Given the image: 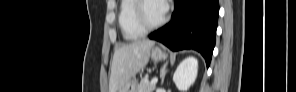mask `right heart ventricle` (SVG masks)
Listing matches in <instances>:
<instances>
[{
	"label": "right heart ventricle",
	"mask_w": 296,
	"mask_h": 92,
	"mask_svg": "<svg viewBox=\"0 0 296 92\" xmlns=\"http://www.w3.org/2000/svg\"><path fill=\"white\" fill-rule=\"evenodd\" d=\"M136 2V0H123L119 7L118 24L123 37L127 40L140 38L145 33L134 19Z\"/></svg>",
	"instance_id": "obj_1"
}]
</instances>
